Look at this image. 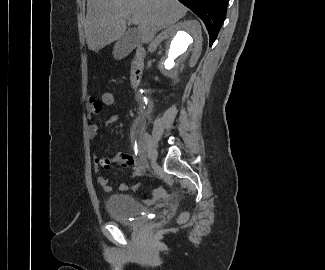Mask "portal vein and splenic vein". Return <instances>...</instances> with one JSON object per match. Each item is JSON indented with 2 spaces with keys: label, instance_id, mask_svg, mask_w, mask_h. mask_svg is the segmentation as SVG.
<instances>
[{
  "label": "portal vein and splenic vein",
  "instance_id": "18ae733b",
  "mask_svg": "<svg viewBox=\"0 0 325 270\" xmlns=\"http://www.w3.org/2000/svg\"><path fill=\"white\" fill-rule=\"evenodd\" d=\"M131 21H132L133 24H138L139 23V20H138L137 17H132Z\"/></svg>",
  "mask_w": 325,
  "mask_h": 270
}]
</instances>
